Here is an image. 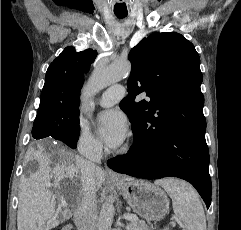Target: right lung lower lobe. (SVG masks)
I'll return each mask as SVG.
<instances>
[{
    "instance_id": "1",
    "label": "right lung lower lobe",
    "mask_w": 241,
    "mask_h": 230,
    "mask_svg": "<svg viewBox=\"0 0 241 230\" xmlns=\"http://www.w3.org/2000/svg\"><path fill=\"white\" fill-rule=\"evenodd\" d=\"M76 146H77V144H75V145H72V147H71V148H76Z\"/></svg>"
}]
</instances>
